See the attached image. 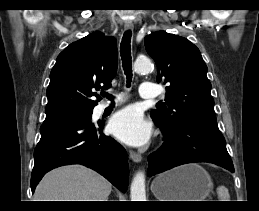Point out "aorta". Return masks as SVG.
I'll use <instances>...</instances> for the list:
<instances>
[{
  "mask_svg": "<svg viewBox=\"0 0 259 211\" xmlns=\"http://www.w3.org/2000/svg\"><path fill=\"white\" fill-rule=\"evenodd\" d=\"M152 63L149 59H137L134 63V70L138 74L149 73ZM131 201H146L145 174L139 171L134 176L130 188Z\"/></svg>",
  "mask_w": 259,
  "mask_h": 211,
  "instance_id": "obj_1",
  "label": "aorta"
}]
</instances>
